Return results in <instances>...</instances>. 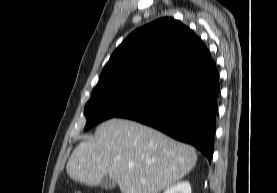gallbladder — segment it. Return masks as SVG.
Masks as SVG:
<instances>
[{"mask_svg": "<svg viewBox=\"0 0 277 193\" xmlns=\"http://www.w3.org/2000/svg\"><path fill=\"white\" fill-rule=\"evenodd\" d=\"M100 186H101V188H103L105 190H111V189H114L116 187V181H114L109 176H106L100 182Z\"/></svg>", "mask_w": 277, "mask_h": 193, "instance_id": "bac80fb5", "label": "gallbladder"}]
</instances>
